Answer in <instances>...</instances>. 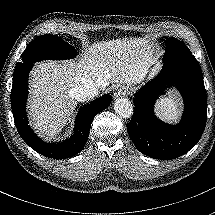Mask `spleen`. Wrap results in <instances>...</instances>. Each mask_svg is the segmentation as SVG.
Returning <instances> with one entry per match:
<instances>
[{
	"label": "spleen",
	"instance_id": "3e777b00",
	"mask_svg": "<svg viewBox=\"0 0 215 215\" xmlns=\"http://www.w3.org/2000/svg\"><path fill=\"white\" fill-rule=\"evenodd\" d=\"M155 113L163 121L177 123L181 116V102L177 94L168 93V97H160L155 104Z\"/></svg>",
	"mask_w": 215,
	"mask_h": 215
}]
</instances>
